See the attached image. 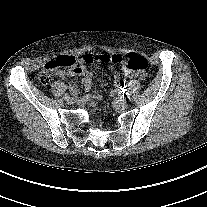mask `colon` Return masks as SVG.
Returning a JSON list of instances; mask_svg holds the SVG:
<instances>
[{"label":"colon","mask_w":207,"mask_h":207,"mask_svg":"<svg viewBox=\"0 0 207 207\" xmlns=\"http://www.w3.org/2000/svg\"><path fill=\"white\" fill-rule=\"evenodd\" d=\"M95 61L104 63H121L127 68L133 71L143 73L148 68L147 60L137 54H129L125 60L121 56L116 54L101 53V54H86L81 59H77L70 55H60L53 60L47 62L43 70L39 74V82L42 85H48L52 80V72L57 69H67L68 72H75L78 68L79 63H93Z\"/></svg>","instance_id":"obj_1"}]
</instances>
